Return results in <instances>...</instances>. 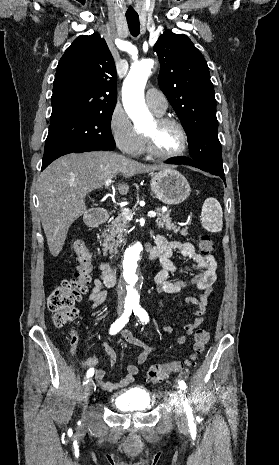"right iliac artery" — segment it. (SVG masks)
<instances>
[{
    "instance_id": "82829eb1",
    "label": "right iliac artery",
    "mask_w": 279,
    "mask_h": 465,
    "mask_svg": "<svg viewBox=\"0 0 279 465\" xmlns=\"http://www.w3.org/2000/svg\"><path fill=\"white\" fill-rule=\"evenodd\" d=\"M132 309H133L132 306H125V310L122 316L119 317L110 327L111 335L118 333L125 326V324L129 321V316L131 315ZM93 374H94L93 369H89L87 371V374H86L87 380L84 382V384L88 382V379L92 377Z\"/></svg>"
}]
</instances>
